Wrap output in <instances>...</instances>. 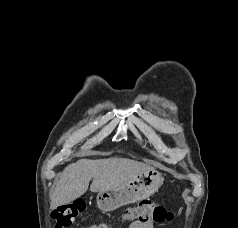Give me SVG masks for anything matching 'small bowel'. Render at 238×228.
I'll list each match as a JSON object with an SVG mask.
<instances>
[{
  "label": "small bowel",
  "instance_id": "small-bowel-1",
  "mask_svg": "<svg viewBox=\"0 0 238 228\" xmlns=\"http://www.w3.org/2000/svg\"><path fill=\"white\" fill-rule=\"evenodd\" d=\"M129 228H154L152 224H141L137 221H134L130 224Z\"/></svg>",
  "mask_w": 238,
  "mask_h": 228
}]
</instances>
